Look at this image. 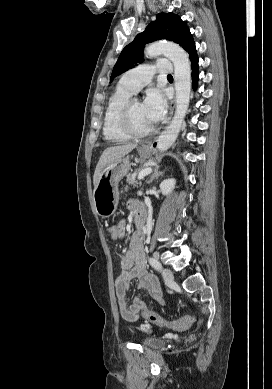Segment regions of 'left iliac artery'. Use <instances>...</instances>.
<instances>
[{
	"mask_svg": "<svg viewBox=\"0 0 272 389\" xmlns=\"http://www.w3.org/2000/svg\"><path fill=\"white\" fill-rule=\"evenodd\" d=\"M149 263L151 264L152 267H154L157 270H160L162 267L160 262L157 259H155L154 257L149 258Z\"/></svg>",
	"mask_w": 272,
	"mask_h": 389,
	"instance_id": "obj_1",
	"label": "left iliac artery"
}]
</instances>
